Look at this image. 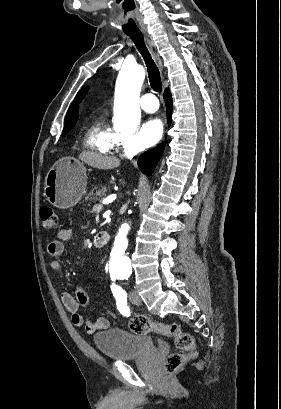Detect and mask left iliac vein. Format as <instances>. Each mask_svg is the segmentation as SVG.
Masks as SVG:
<instances>
[{
    "label": "left iliac vein",
    "instance_id": "left-iliac-vein-1",
    "mask_svg": "<svg viewBox=\"0 0 281 409\" xmlns=\"http://www.w3.org/2000/svg\"><path fill=\"white\" fill-rule=\"evenodd\" d=\"M129 300H130L131 303H133L135 305H139L141 303V299H140L137 291H135V290H132L130 292Z\"/></svg>",
    "mask_w": 281,
    "mask_h": 409
}]
</instances>
